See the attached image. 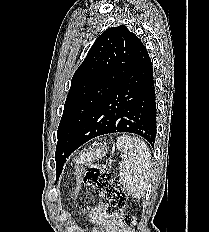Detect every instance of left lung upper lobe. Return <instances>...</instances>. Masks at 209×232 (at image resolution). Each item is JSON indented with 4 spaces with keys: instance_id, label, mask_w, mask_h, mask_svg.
<instances>
[{
    "instance_id": "left-lung-upper-lobe-1",
    "label": "left lung upper lobe",
    "mask_w": 209,
    "mask_h": 232,
    "mask_svg": "<svg viewBox=\"0 0 209 232\" xmlns=\"http://www.w3.org/2000/svg\"><path fill=\"white\" fill-rule=\"evenodd\" d=\"M141 41L125 25L105 30L75 72L57 131V177L69 157L71 141L91 112L128 72Z\"/></svg>"
}]
</instances>
